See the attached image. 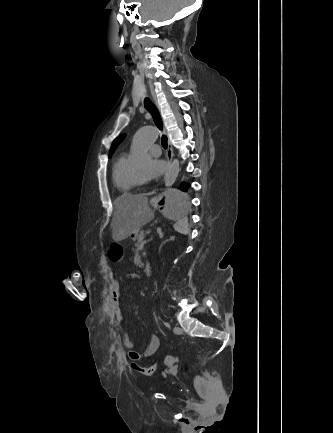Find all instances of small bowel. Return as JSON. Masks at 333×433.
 I'll use <instances>...</instances> for the list:
<instances>
[{
	"label": "small bowel",
	"mask_w": 333,
	"mask_h": 433,
	"mask_svg": "<svg viewBox=\"0 0 333 433\" xmlns=\"http://www.w3.org/2000/svg\"><path fill=\"white\" fill-rule=\"evenodd\" d=\"M124 279L129 280H138V277L135 275L121 276L116 272L111 273V290L112 297L115 305L116 315L118 320L123 319L120 303H121V283ZM122 345L127 350L128 358L131 361V366L136 364L139 365V362L145 358L154 355L159 346H160V338L157 335H152L147 347L143 352L137 351L135 349L134 342L131 340L128 334H124L122 337ZM177 368H169L168 373L175 374Z\"/></svg>",
	"instance_id": "1"
}]
</instances>
